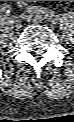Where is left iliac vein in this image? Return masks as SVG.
I'll return each instance as SVG.
<instances>
[{
  "mask_svg": "<svg viewBox=\"0 0 74 122\" xmlns=\"http://www.w3.org/2000/svg\"><path fill=\"white\" fill-rule=\"evenodd\" d=\"M22 18L27 20L30 23H36V24H43L45 23V20L41 16H34V15H22Z\"/></svg>",
  "mask_w": 74,
  "mask_h": 122,
  "instance_id": "left-iliac-vein-1",
  "label": "left iliac vein"
}]
</instances>
